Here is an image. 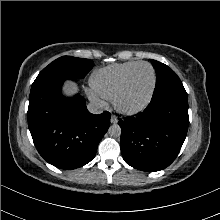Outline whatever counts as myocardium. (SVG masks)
Returning <instances> with one entry per match:
<instances>
[{
	"mask_svg": "<svg viewBox=\"0 0 220 220\" xmlns=\"http://www.w3.org/2000/svg\"><path fill=\"white\" fill-rule=\"evenodd\" d=\"M148 66L151 71H152V84H151V88L149 90L148 95L146 96V98L144 99V101L139 104L138 106L135 107H125L122 105L121 103V99L128 87L129 81L133 75V73L135 72V70L140 67V66ZM156 82H157V76H156V71L154 69V67L148 63V62H138L124 77L120 87L118 88L117 92L115 93L114 97H113V105L115 107V109L123 114V115H127V116H133V115H137L139 113H141L142 111H144L147 106L150 104L154 91H155V87H156Z\"/></svg>",
	"mask_w": 220,
	"mask_h": 220,
	"instance_id": "myocardium-1",
	"label": "myocardium"
}]
</instances>
